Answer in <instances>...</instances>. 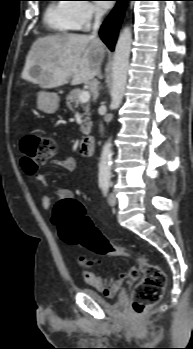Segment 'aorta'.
<instances>
[{
    "label": "aorta",
    "mask_w": 193,
    "mask_h": 349,
    "mask_svg": "<svg viewBox=\"0 0 193 349\" xmlns=\"http://www.w3.org/2000/svg\"><path fill=\"white\" fill-rule=\"evenodd\" d=\"M132 43L130 27H125L117 40L112 62L111 107L118 109L121 105L127 83L129 57ZM112 144L108 140L102 149L99 162V181L107 182L111 178Z\"/></svg>",
    "instance_id": "1"
}]
</instances>
